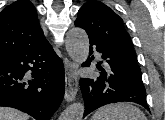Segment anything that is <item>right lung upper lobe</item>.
<instances>
[{
	"instance_id": "1",
	"label": "right lung upper lobe",
	"mask_w": 165,
	"mask_h": 120,
	"mask_svg": "<svg viewBox=\"0 0 165 120\" xmlns=\"http://www.w3.org/2000/svg\"><path fill=\"white\" fill-rule=\"evenodd\" d=\"M46 40L34 5L18 0L0 12V57Z\"/></svg>"
}]
</instances>
